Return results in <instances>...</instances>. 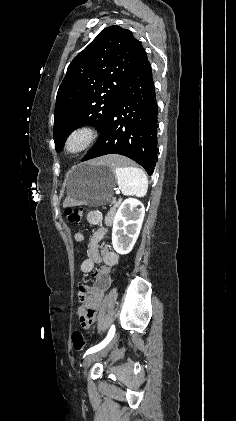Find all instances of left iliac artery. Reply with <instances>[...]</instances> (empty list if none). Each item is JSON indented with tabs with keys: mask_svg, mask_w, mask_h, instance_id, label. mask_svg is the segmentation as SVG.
Segmentation results:
<instances>
[{
	"mask_svg": "<svg viewBox=\"0 0 236 421\" xmlns=\"http://www.w3.org/2000/svg\"><path fill=\"white\" fill-rule=\"evenodd\" d=\"M114 334H115V326L112 325L111 328H110V330H109V332H108L107 337L101 343H99L98 345H95L94 347H91L90 349H88L86 351L85 355H88V354L97 352L100 349L104 348L111 341V339L113 338Z\"/></svg>",
	"mask_w": 236,
	"mask_h": 421,
	"instance_id": "1",
	"label": "left iliac artery"
}]
</instances>
